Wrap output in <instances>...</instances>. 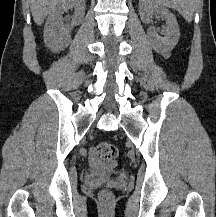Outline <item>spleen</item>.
I'll list each match as a JSON object with an SVG mask.
<instances>
[{"label": "spleen", "mask_w": 216, "mask_h": 217, "mask_svg": "<svg viewBox=\"0 0 216 217\" xmlns=\"http://www.w3.org/2000/svg\"><path fill=\"white\" fill-rule=\"evenodd\" d=\"M156 4L177 10L190 23L193 18L196 0H154Z\"/></svg>", "instance_id": "1"}]
</instances>
